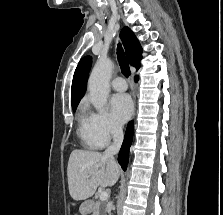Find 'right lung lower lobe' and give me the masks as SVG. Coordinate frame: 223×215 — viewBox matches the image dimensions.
<instances>
[{"mask_svg":"<svg viewBox=\"0 0 223 215\" xmlns=\"http://www.w3.org/2000/svg\"><path fill=\"white\" fill-rule=\"evenodd\" d=\"M132 138H133V122H129L126 129L125 138H124V141H123V144L118 156V162L123 168V170H126V167H127L128 158H129V148L132 142Z\"/></svg>","mask_w":223,"mask_h":215,"instance_id":"right-lung-lower-lobe-1","label":"right lung lower lobe"}]
</instances>
